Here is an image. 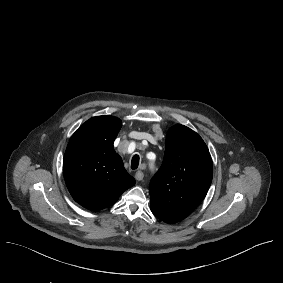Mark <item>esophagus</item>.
<instances>
[{"mask_svg":"<svg viewBox=\"0 0 283 283\" xmlns=\"http://www.w3.org/2000/svg\"><path fill=\"white\" fill-rule=\"evenodd\" d=\"M143 178H144V173L142 171L138 170L135 173V179L138 180V181H141Z\"/></svg>","mask_w":283,"mask_h":283,"instance_id":"esophagus-1","label":"esophagus"}]
</instances>
